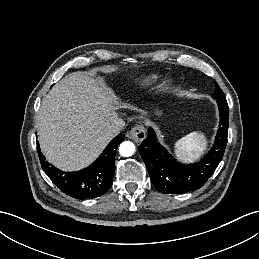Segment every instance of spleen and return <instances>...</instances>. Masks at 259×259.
<instances>
[{
  "mask_svg": "<svg viewBox=\"0 0 259 259\" xmlns=\"http://www.w3.org/2000/svg\"><path fill=\"white\" fill-rule=\"evenodd\" d=\"M207 140L203 133L194 131L175 143V155L183 162L197 160L205 151Z\"/></svg>",
  "mask_w": 259,
  "mask_h": 259,
  "instance_id": "spleen-1",
  "label": "spleen"
}]
</instances>
